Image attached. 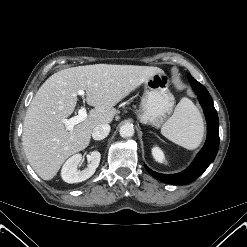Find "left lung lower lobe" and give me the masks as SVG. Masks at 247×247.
<instances>
[{
	"label": "left lung lower lobe",
	"instance_id": "0a47b994",
	"mask_svg": "<svg viewBox=\"0 0 247 247\" xmlns=\"http://www.w3.org/2000/svg\"><path fill=\"white\" fill-rule=\"evenodd\" d=\"M188 79L193 90L198 95L200 104L202 105L207 120V140L198 153L194 162L183 172L178 174L166 175L152 171L147 166V171L156 179L170 184L184 185L191 183L197 179L212 163L219 147V121L218 115L214 108L213 100L207 89L196 81L190 74Z\"/></svg>",
	"mask_w": 247,
	"mask_h": 247
}]
</instances>
